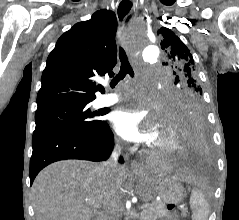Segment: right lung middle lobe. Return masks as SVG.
Segmentation results:
<instances>
[{
  "label": "right lung middle lobe",
  "mask_w": 239,
  "mask_h": 220,
  "mask_svg": "<svg viewBox=\"0 0 239 220\" xmlns=\"http://www.w3.org/2000/svg\"><path fill=\"white\" fill-rule=\"evenodd\" d=\"M101 111L91 112L86 104L55 105L37 108L35 130L67 129L80 132H96L105 121L98 120Z\"/></svg>",
  "instance_id": "1"
}]
</instances>
